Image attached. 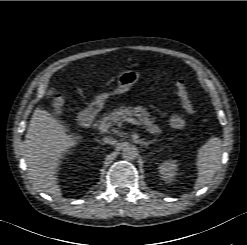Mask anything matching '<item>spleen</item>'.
Here are the masks:
<instances>
[{
    "instance_id": "3e777b00",
    "label": "spleen",
    "mask_w": 247,
    "mask_h": 245,
    "mask_svg": "<svg viewBox=\"0 0 247 245\" xmlns=\"http://www.w3.org/2000/svg\"><path fill=\"white\" fill-rule=\"evenodd\" d=\"M221 146V140L212 137L199 149L196 161L198 178L195 190L207 185L216 174L221 160Z\"/></svg>"
}]
</instances>
